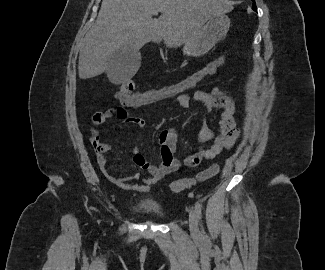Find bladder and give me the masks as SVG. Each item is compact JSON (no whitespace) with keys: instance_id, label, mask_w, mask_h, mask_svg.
Here are the masks:
<instances>
[{"instance_id":"1","label":"bladder","mask_w":325,"mask_h":270,"mask_svg":"<svg viewBox=\"0 0 325 270\" xmlns=\"http://www.w3.org/2000/svg\"><path fill=\"white\" fill-rule=\"evenodd\" d=\"M136 207L144 213L161 214L160 204L153 198H142L138 201Z\"/></svg>"}]
</instances>
